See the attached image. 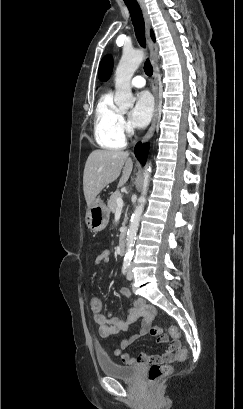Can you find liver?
Listing matches in <instances>:
<instances>
[{"mask_svg":"<svg viewBox=\"0 0 243 409\" xmlns=\"http://www.w3.org/2000/svg\"><path fill=\"white\" fill-rule=\"evenodd\" d=\"M122 168L123 173L118 187H122L127 182L133 169L129 153L100 149L90 153L83 174V191L88 207L105 186L119 177Z\"/></svg>","mask_w":243,"mask_h":409,"instance_id":"1","label":"liver"}]
</instances>
